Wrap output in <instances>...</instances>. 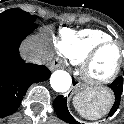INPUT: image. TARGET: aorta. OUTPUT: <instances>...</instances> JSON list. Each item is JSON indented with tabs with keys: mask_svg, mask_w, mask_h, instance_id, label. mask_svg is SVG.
Segmentation results:
<instances>
[{
	"mask_svg": "<svg viewBox=\"0 0 124 124\" xmlns=\"http://www.w3.org/2000/svg\"><path fill=\"white\" fill-rule=\"evenodd\" d=\"M72 83L71 76L63 70L55 71L50 78V84L54 91L62 93L69 90Z\"/></svg>",
	"mask_w": 124,
	"mask_h": 124,
	"instance_id": "obj_1",
	"label": "aorta"
}]
</instances>
